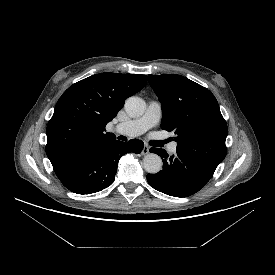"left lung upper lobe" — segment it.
<instances>
[{
	"instance_id": "obj_1",
	"label": "left lung upper lobe",
	"mask_w": 275,
	"mask_h": 275,
	"mask_svg": "<svg viewBox=\"0 0 275 275\" xmlns=\"http://www.w3.org/2000/svg\"><path fill=\"white\" fill-rule=\"evenodd\" d=\"M148 81L162 104L161 128L176 134V151L216 169L227 153L228 128L214 95L181 75H149Z\"/></svg>"
}]
</instances>
